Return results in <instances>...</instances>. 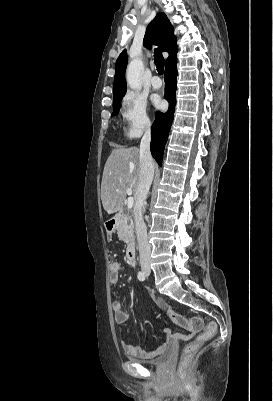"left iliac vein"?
<instances>
[{"instance_id":"4c4485c4","label":"left iliac vein","mask_w":273,"mask_h":401,"mask_svg":"<svg viewBox=\"0 0 273 401\" xmlns=\"http://www.w3.org/2000/svg\"><path fill=\"white\" fill-rule=\"evenodd\" d=\"M147 276L150 275V268H148V270L145 272Z\"/></svg>"}]
</instances>
